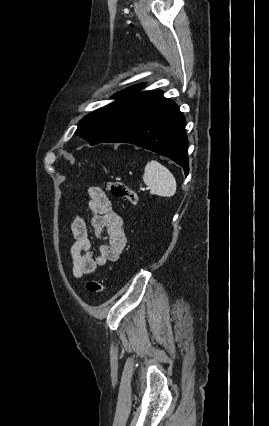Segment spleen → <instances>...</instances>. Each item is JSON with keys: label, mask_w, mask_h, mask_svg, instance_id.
<instances>
[{"label": "spleen", "mask_w": 269, "mask_h": 426, "mask_svg": "<svg viewBox=\"0 0 269 426\" xmlns=\"http://www.w3.org/2000/svg\"><path fill=\"white\" fill-rule=\"evenodd\" d=\"M143 181L151 194L171 197L176 192V180L173 174L157 161L151 160L146 164Z\"/></svg>", "instance_id": "obj_1"}]
</instances>
